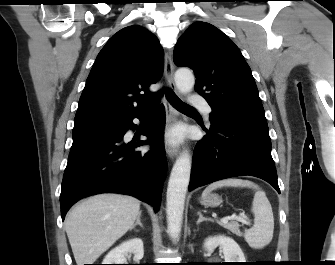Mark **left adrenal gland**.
<instances>
[{
  "label": "left adrenal gland",
  "mask_w": 335,
  "mask_h": 265,
  "mask_svg": "<svg viewBox=\"0 0 335 265\" xmlns=\"http://www.w3.org/2000/svg\"><path fill=\"white\" fill-rule=\"evenodd\" d=\"M197 214L199 215V219L197 221V224H200L201 222H203L205 220H211L210 218L204 217L201 211H198Z\"/></svg>",
  "instance_id": "1"
}]
</instances>
